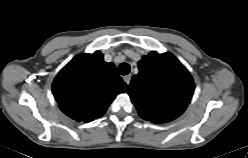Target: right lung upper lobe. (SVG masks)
<instances>
[{"mask_svg":"<svg viewBox=\"0 0 248 158\" xmlns=\"http://www.w3.org/2000/svg\"><path fill=\"white\" fill-rule=\"evenodd\" d=\"M126 88L115 65L96 51L74 57L55 77L52 92L63 113L78 122H90L103 116Z\"/></svg>","mask_w":248,"mask_h":158,"instance_id":"cb5924a9","label":"right lung upper lobe"}]
</instances>
